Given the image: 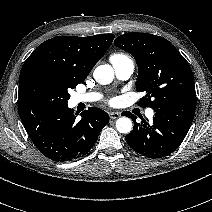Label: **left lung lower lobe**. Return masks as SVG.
<instances>
[{
  "label": "left lung lower lobe",
  "instance_id": "left-lung-lower-lobe-1",
  "mask_svg": "<svg viewBox=\"0 0 212 212\" xmlns=\"http://www.w3.org/2000/svg\"><path fill=\"white\" fill-rule=\"evenodd\" d=\"M196 100H179L155 109L152 122L134 121L133 130L125 137L128 145L137 153L149 158H162L175 151L193 121Z\"/></svg>",
  "mask_w": 212,
  "mask_h": 212
}]
</instances>
